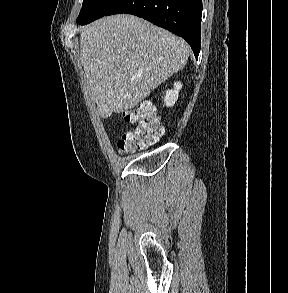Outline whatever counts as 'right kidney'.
I'll list each match as a JSON object with an SVG mask.
<instances>
[{
	"mask_svg": "<svg viewBox=\"0 0 288 293\" xmlns=\"http://www.w3.org/2000/svg\"><path fill=\"white\" fill-rule=\"evenodd\" d=\"M182 88L181 82L174 83V89L167 90L164 97V102L167 107H171L178 99L179 90Z\"/></svg>",
	"mask_w": 288,
	"mask_h": 293,
	"instance_id": "1",
	"label": "right kidney"
}]
</instances>
